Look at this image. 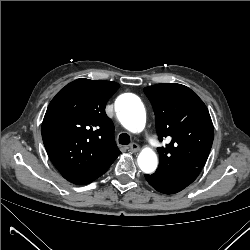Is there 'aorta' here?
Instances as JSON below:
<instances>
[{
  "mask_svg": "<svg viewBox=\"0 0 250 250\" xmlns=\"http://www.w3.org/2000/svg\"><path fill=\"white\" fill-rule=\"evenodd\" d=\"M115 109L120 113L122 125L131 132L142 130L146 123V111L141 100L134 94H123L118 97ZM158 160L155 152L145 148L138 156V165L145 173H151L157 168Z\"/></svg>",
  "mask_w": 250,
  "mask_h": 250,
  "instance_id": "1",
  "label": "aorta"
}]
</instances>
